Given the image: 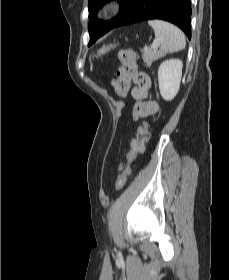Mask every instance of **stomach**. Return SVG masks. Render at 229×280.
Masks as SVG:
<instances>
[{
	"label": "stomach",
	"instance_id": "0dacf381",
	"mask_svg": "<svg viewBox=\"0 0 229 280\" xmlns=\"http://www.w3.org/2000/svg\"><path fill=\"white\" fill-rule=\"evenodd\" d=\"M111 48H112V45L106 46V47L104 46L103 48H101L98 51L97 55H102V54L106 53L107 51H109Z\"/></svg>",
	"mask_w": 229,
	"mask_h": 280
}]
</instances>
